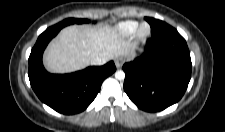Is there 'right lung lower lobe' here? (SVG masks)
I'll return each mask as SVG.
<instances>
[{
    "label": "right lung lower lobe",
    "mask_w": 225,
    "mask_h": 132,
    "mask_svg": "<svg viewBox=\"0 0 225 132\" xmlns=\"http://www.w3.org/2000/svg\"><path fill=\"white\" fill-rule=\"evenodd\" d=\"M59 28L49 27L37 39L29 57V80L39 99L63 114L84 111L100 91L102 82L115 72L113 61L71 74H50L42 64L43 51Z\"/></svg>",
    "instance_id": "obj_1"
}]
</instances>
